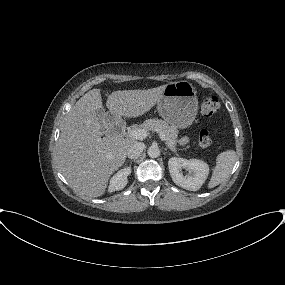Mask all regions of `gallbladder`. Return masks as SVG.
Returning <instances> with one entry per match:
<instances>
[{"instance_id":"gallbladder-1","label":"gallbladder","mask_w":285,"mask_h":285,"mask_svg":"<svg viewBox=\"0 0 285 285\" xmlns=\"http://www.w3.org/2000/svg\"><path fill=\"white\" fill-rule=\"evenodd\" d=\"M96 116L102 126L103 130H107L108 128V124L110 122V118L108 116V114L105 112V110L103 108H99L96 111Z\"/></svg>"}]
</instances>
